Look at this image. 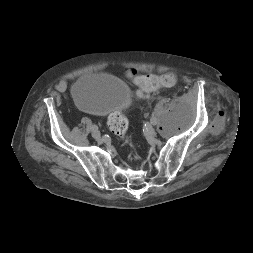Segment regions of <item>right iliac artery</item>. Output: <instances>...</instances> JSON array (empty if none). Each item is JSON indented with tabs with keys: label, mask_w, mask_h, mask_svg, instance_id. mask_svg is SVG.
Instances as JSON below:
<instances>
[{
	"label": "right iliac artery",
	"mask_w": 253,
	"mask_h": 253,
	"mask_svg": "<svg viewBox=\"0 0 253 253\" xmlns=\"http://www.w3.org/2000/svg\"><path fill=\"white\" fill-rule=\"evenodd\" d=\"M90 128H91L92 131L95 130V129H98V127L96 125H91Z\"/></svg>",
	"instance_id": "1"
}]
</instances>
